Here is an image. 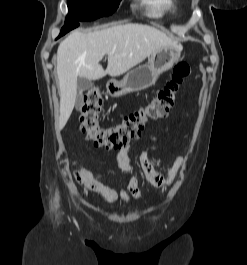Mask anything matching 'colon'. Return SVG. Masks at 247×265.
<instances>
[{
    "label": "colon",
    "instance_id": "5ec220e1",
    "mask_svg": "<svg viewBox=\"0 0 247 265\" xmlns=\"http://www.w3.org/2000/svg\"><path fill=\"white\" fill-rule=\"evenodd\" d=\"M190 73L191 68L187 63L176 65L170 80L144 108L126 115L118 124L110 127H103L100 123L103 105L100 91L96 88L88 90L80 115L81 131L96 147L121 149L141 135L148 121L159 120L168 115L180 87Z\"/></svg>",
    "mask_w": 247,
    "mask_h": 265
}]
</instances>
